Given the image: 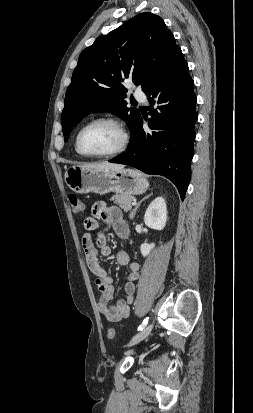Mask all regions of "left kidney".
I'll return each mask as SVG.
<instances>
[{
	"mask_svg": "<svg viewBox=\"0 0 253 413\" xmlns=\"http://www.w3.org/2000/svg\"><path fill=\"white\" fill-rule=\"evenodd\" d=\"M166 221H167L166 202L163 197L159 196L155 198L148 206L145 212V215H144V222L151 229L162 230L164 229L166 225ZM154 247H155L154 243L142 244L140 247L142 256L146 257Z\"/></svg>",
	"mask_w": 253,
	"mask_h": 413,
	"instance_id": "1",
	"label": "left kidney"
}]
</instances>
